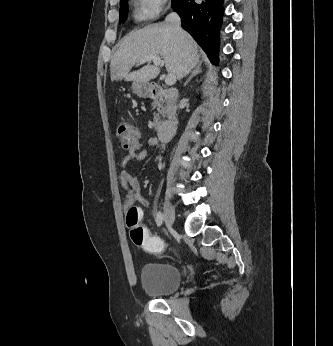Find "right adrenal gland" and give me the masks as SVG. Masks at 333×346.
Wrapping results in <instances>:
<instances>
[{
    "label": "right adrenal gland",
    "mask_w": 333,
    "mask_h": 346,
    "mask_svg": "<svg viewBox=\"0 0 333 346\" xmlns=\"http://www.w3.org/2000/svg\"><path fill=\"white\" fill-rule=\"evenodd\" d=\"M201 73V62L198 63L194 69L191 72V75L189 76V78L187 79V81L184 83V86H186L188 84V82L197 74Z\"/></svg>",
    "instance_id": "obj_1"
}]
</instances>
